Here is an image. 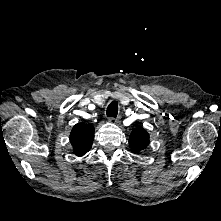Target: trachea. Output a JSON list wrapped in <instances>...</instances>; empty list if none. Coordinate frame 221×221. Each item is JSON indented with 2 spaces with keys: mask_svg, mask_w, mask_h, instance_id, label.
<instances>
[{
  "mask_svg": "<svg viewBox=\"0 0 221 221\" xmlns=\"http://www.w3.org/2000/svg\"><path fill=\"white\" fill-rule=\"evenodd\" d=\"M117 114H118V102L117 101H112L109 104V106L107 107L106 115H107V117L116 118Z\"/></svg>",
  "mask_w": 221,
  "mask_h": 221,
  "instance_id": "1",
  "label": "trachea"
}]
</instances>
